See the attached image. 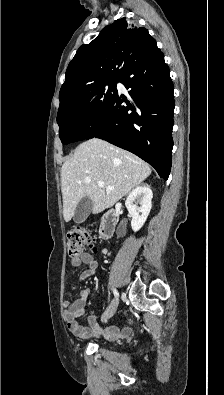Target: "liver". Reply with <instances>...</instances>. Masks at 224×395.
Segmentation results:
<instances>
[{
  "label": "liver",
  "instance_id": "liver-1",
  "mask_svg": "<svg viewBox=\"0 0 224 395\" xmlns=\"http://www.w3.org/2000/svg\"><path fill=\"white\" fill-rule=\"evenodd\" d=\"M150 174L146 162L124 149L97 138L83 142L61 169L64 220H71L84 197L93 201L94 214L112 207ZM107 186L114 189L108 191Z\"/></svg>",
  "mask_w": 224,
  "mask_h": 395
}]
</instances>
